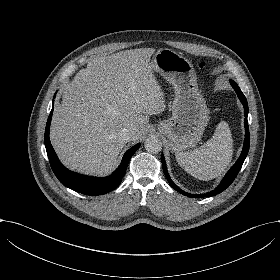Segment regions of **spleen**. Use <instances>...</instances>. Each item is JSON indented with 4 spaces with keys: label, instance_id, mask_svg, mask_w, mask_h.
<instances>
[{
    "label": "spleen",
    "instance_id": "1",
    "mask_svg": "<svg viewBox=\"0 0 280 280\" xmlns=\"http://www.w3.org/2000/svg\"><path fill=\"white\" fill-rule=\"evenodd\" d=\"M233 139L228 124L221 121L212 139L199 149L175 154L178 164L199 180H211L224 172L232 160Z\"/></svg>",
    "mask_w": 280,
    "mask_h": 280
}]
</instances>
